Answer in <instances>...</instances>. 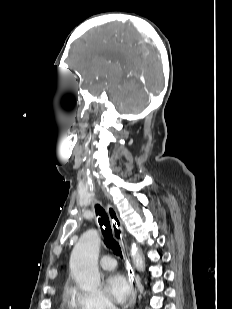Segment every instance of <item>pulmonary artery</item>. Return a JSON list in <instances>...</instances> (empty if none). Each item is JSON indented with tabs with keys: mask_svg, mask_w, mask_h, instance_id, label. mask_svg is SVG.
Masks as SVG:
<instances>
[{
	"mask_svg": "<svg viewBox=\"0 0 232 309\" xmlns=\"http://www.w3.org/2000/svg\"><path fill=\"white\" fill-rule=\"evenodd\" d=\"M100 266L104 270H112L116 266V261L112 256L105 255L100 260Z\"/></svg>",
	"mask_w": 232,
	"mask_h": 309,
	"instance_id": "1",
	"label": "pulmonary artery"
}]
</instances>
